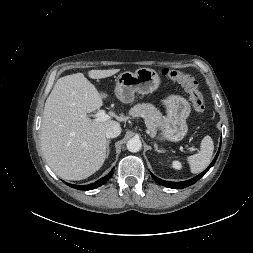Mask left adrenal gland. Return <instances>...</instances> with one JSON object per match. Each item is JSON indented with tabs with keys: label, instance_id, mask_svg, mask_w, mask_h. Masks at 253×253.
Here are the masks:
<instances>
[{
	"label": "left adrenal gland",
	"instance_id": "a2214340",
	"mask_svg": "<svg viewBox=\"0 0 253 253\" xmlns=\"http://www.w3.org/2000/svg\"><path fill=\"white\" fill-rule=\"evenodd\" d=\"M154 148H155V151H157L158 153H163V152H165L164 149H159V148H158L157 143H154Z\"/></svg>",
	"mask_w": 253,
	"mask_h": 253
}]
</instances>
